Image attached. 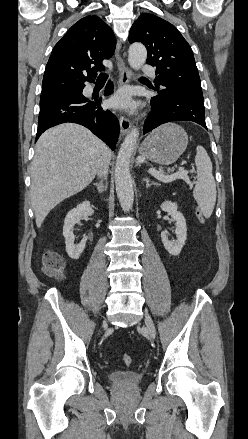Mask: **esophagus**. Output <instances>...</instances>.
Here are the masks:
<instances>
[{
    "instance_id": "esophagus-1",
    "label": "esophagus",
    "mask_w": 248,
    "mask_h": 439,
    "mask_svg": "<svg viewBox=\"0 0 248 439\" xmlns=\"http://www.w3.org/2000/svg\"><path fill=\"white\" fill-rule=\"evenodd\" d=\"M116 66L118 72V84L119 86L127 85L131 80V73L129 68L126 66L122 56H121V42L118 41L116 46ZM119 124L122 136H125L131 128L130 121L123 115L119 118Z\"/></svg>"
}]
</instances>
